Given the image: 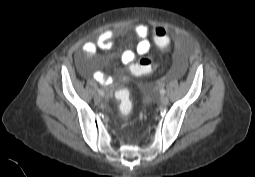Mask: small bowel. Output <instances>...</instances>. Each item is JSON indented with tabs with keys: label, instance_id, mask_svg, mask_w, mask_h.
I'll use <instances>...</instances> for the list:
<instances>
[{
	"label": "small bowel",
	"instance_id": "c3829d8e",
	"mask_svg": "<svg viewBox=\"0 0 255 177\" xmlns=\"http://www.w3.org/2000/svg\"><path fill=\"white\" fill-rule=\"evenodd\" d=\"M134 34L138 39L136 51L139 55L147 54L151 49V41L149 39V27L146 24H138L135 26ZM115 41L114 33L111 30H105L99 34L96 41L86 42L82 47L83 57L85 59L93 58L99 49L109 50L113 47ZM135 58L133 51L127 50L121 54V61L124 64L131 63ZM82 72L85 71L83 66H80ZM92 78L102 84L110 85L112 83V77L110 74L104 71H95L92 74Z\"/></svg>",
	"mask_w": 255,
	"mask_h": 177
}]
</instances>
